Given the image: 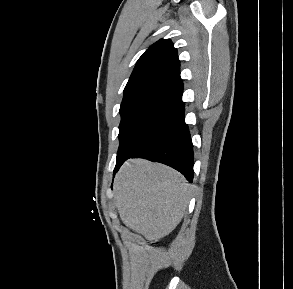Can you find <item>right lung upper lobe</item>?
I'll return each instance as SVG.
<instances>
[{
    "label": "right lung upper lobe",
    "mask_w": 293,
    "mask_h": 289,
    "mask_svg": "<svg viewBox=\"0 0 293 289\" xmlns=\"http://www.w3.org/2000/svg\"><path fill=\"white\" fill-rule=\"evenodd\" d=\"M179 68L177 49L171 40L157 41L137 61L125 86L123 101L150 98L171 103L178 108L184 106Z\"/></svg>",
    "instance_id": "cb5924a9"
}]
</instances>
